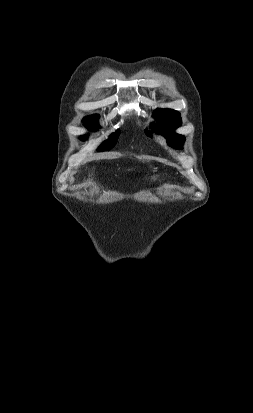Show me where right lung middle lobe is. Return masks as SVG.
Here are the masks:
<instances>
[{
    "label": "right lung middle lobe",
    "mask_w": 253,
    "mask_h": 413,
    "mask_svg": "<svg viewBox=\"0 0 253 413\" xmlns=\"http://www.w3.org/2000/svg\"><path fill=\"white\" fill-rule=\"evenodd\" d=\"M85 126L88 127V128H90V129H92V130H95V128H98V127H99V126H98V123H97V124H89V125H85ZM119 134H120V131L117 130L114 134L111 135V137H110L108 140L104 141V142L101 144V146H99V148L97 149V151L100 152V151L110 150V149L115 145L116 140H117ZM85 139H87L86 136H82V137H81V140H85Z\"/></svg>",
    "instance_id": "right-lung-middle-lobe-1"
}]
</instances>
